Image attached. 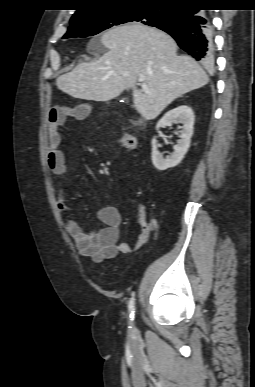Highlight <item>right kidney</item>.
Here are the masks:
<instances>
[{"label": "right kidney", "instance_id": "1", "mask_svg": "<svg viewBox=\"0 0 255 387\" xmlns=\"http://www.w3.org/2000/svg\"><path fill=\"white\" fill-rule=\"evenodd\" d=\"M172 124H182L180 131V139L173 147L174 152L167 158H163L162 153L158 151L156 139L152 140V162L153 165L160 171L175 167L183 159L190 147L191 137L193 135L194 113L191 107L182 105L168 111L157 123L156 130Z\"/></svg>", "mask_w": 255, "mask_h": 387}]
</instances>
